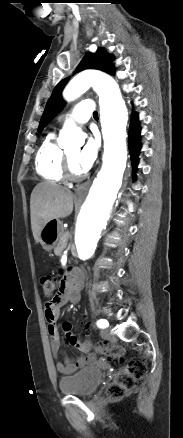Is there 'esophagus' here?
I'll return each instance as SVG.
<instances>
[{
    "label": "esophagus",
    "instance_id": "1",
    "mask_svg": "<svg viewBox=\"0 0 183 438\" xmlns=\"http://www.w3.org/2000/svg\"><path fill=\"white\" fill-rule=\"evenodd\" d=\"M90 184H91V180H88V181L84 182L83 184L79 185L75 190L76 194L78 196L85 194L86 191L88 190Z\"/></svg>",
    "mask_w": 183,
    "mask_h": 438
}]
</instances>
